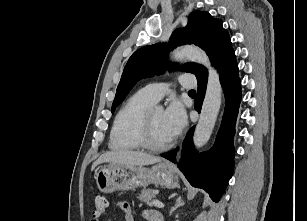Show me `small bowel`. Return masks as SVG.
<instances>
[{"instance_id":"c3829d8e","label":"small bowel","mask_w":307,"mask_h":221,"mask_svg":"<svg viewBox=\"0 0 307 221\" xmlns=\"http://www.w3.org/2000/svg\"><path fill=\"white\" fill-rule=\"evenodd\" d=\"M117 208L123 212L125 221H134V210L129 203H118ZM143 217L148 221H162L160 214L155 211L145 210L143 212ZM92 221H100V219L94 215Z\"/></svg>"}]
</instances>
